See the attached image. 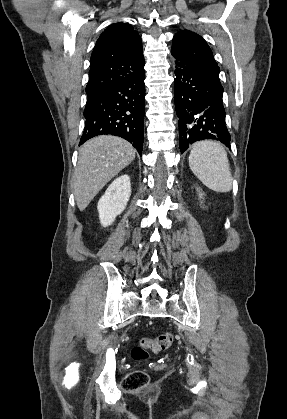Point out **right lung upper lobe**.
<instances>
[{
	"mask_svg": "<svg viewBox=\"0 0 287 419\" xmlns=\"http://www.w3.org/2000/svg\"><path fill=\"white\" fill-rule=\"evenodd\" d=\"M143 69L141 37L130 24L114 23L100 35L92 52L86 94L92 96Z\"/></svg>",
	"mask_w": 287,
	"mask_h": 419,
	"instance_id": "cb5924a9",
	"label": "right lung upper lobe"
}]
</instances>
